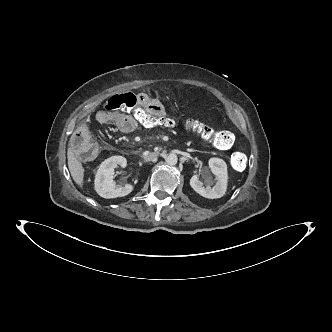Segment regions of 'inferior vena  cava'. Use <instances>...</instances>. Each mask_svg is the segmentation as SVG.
<instances>
[{
	"instance_id": "1",
	"label": "inferior vena cava",
	"mask_w": 332,
	"mask_h": 332,
	"mask_svg": "<svg viewBox=\"0 0 332 332\" xmlns=\"http://www.w3.org/2000/svg\"><path fill=\"white\" fill-rule=\"evenodd\" d=\"M158 156V153L157 152H152V153H149L147 155L144 156V159L146 161H153L155 160V158Z\"/></svg>"
}]
</instances>
